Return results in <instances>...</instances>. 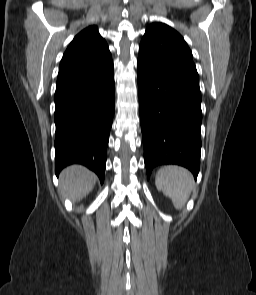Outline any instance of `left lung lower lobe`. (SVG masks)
<instances>
[{"label":"left lung lower lobe","mask_w":256,"mask_h":295,"mask_svg":"<svg viewBox=\"0 0 256 295\" xmlns=\"http://www.w3.org/2000/svg\"><path fill=\"white\" fill-rule=\"evenodd\" d=\"M137 74L147 177L155 166L178 164L196 178L200 169L201 94L140 65Z\"/></svg>","instance_id":"left-lung-lower-lobe-1"}]
</instances>
